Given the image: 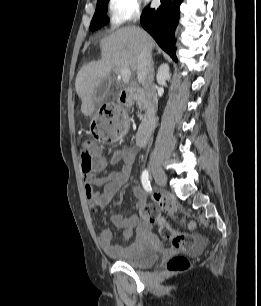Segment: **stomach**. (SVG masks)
Returning <instances> with one entry per match:
<instances>
[{
  "instance_id": "0dacf381",
  "label": "stomach",
  "mask_w": 261,
  "mask_h": 306,
  "mask_svg": "<svg viewBox=\"0 0 261 306\" xmlns=\"http://www.w3.org/2000/svg\"><path fill=\"white\" fill-rule=\"evenodd\" d=\"M94 119H96V117ZM128 128H129V122L127 119H125L123 122V132H126Z\"/></svg>"
}]
</instances>
